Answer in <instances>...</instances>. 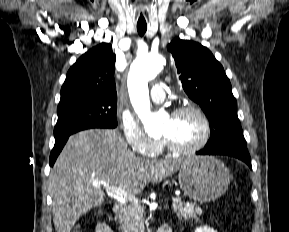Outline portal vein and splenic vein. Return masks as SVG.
Here are the masks:
<instances>
[{"instance_id": "portal-vein-and-splenic-vein-1", "label": "portal vein and splenic vein", "mask_w": 289, "mask_h": 232, "mask_svg": "<svg viewBox=\"0 0 289 232\" xmlns=\"http://www.w3.org/2000/svg\"><path fill=\"white\" fill-rule=\"evenodd\" d=\"M93 185L96 186V187H101V186H103L107 191H109V192H111V193L119 196L120 198L129 200V201L133 202L135 205H138V204H139V201H138V199H137L135 196L129 194L127 191H125V190H124L123 188H121V187L110 186V185H108V184H106V183H97V182H94ZM172 201H173L174 203H178V202H181V198H179V197H173V198H172Z\"/></svg>"}]
</instances>
